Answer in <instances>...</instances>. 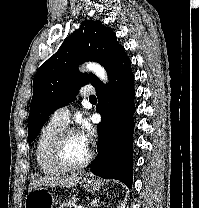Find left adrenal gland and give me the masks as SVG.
Listing matches in <instances>:
<instances>
[{
    "label": "left adrenal gland",
    "mask_w": 199,
    "mask_h": 208,
    "mask_svg": "<svg viewBox=\"0 0 199 208\" xmlns=\"http://www.w3.org/2000/svg\"><path fill=\"white\" fill-rule=\"evenodd\" d=\"M103 202H100V199H95L90 203V207L89 208H95V207H99Z\"/></svg>",
    "instance_id": "a2214340"
}]
</instances>
